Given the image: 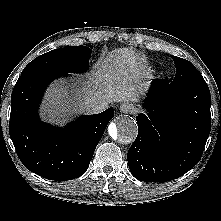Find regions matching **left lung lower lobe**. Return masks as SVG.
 I'll return each instance as SVG.
<instances>
[{
  "mask_svg": "<svg viewBox=\"0 0 221 221\" xmlns=\"http://www.w3.org/2000/svg\"><path fill=\"white\" fill-rule=\"evenodd\" d=\"M144 106L150 115L136 117L138 135L127 153L130 171L146 182L177 179L199 162L210 133L208 85L173 87L154 79Z\"/></svg>",
  "mask_w": 221,
  "mask_h": 221,
  "instance_id": "left-lung-lower-lobe-1",
  "label": "left lung lower lobe"
}]
</instances>
